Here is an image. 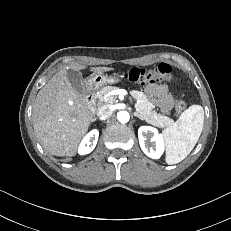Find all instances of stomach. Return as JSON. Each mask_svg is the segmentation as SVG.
Returning a JSON list of instances; mask_svg holds the SVG:
<instances>
[{
    "label": "stomach",
    "mask_w": 231,
    "mask_h": 231,
    "mask_svg": "<svg viewBox=\"0 0 231 231\" xmlns=\"http://www.w3.org/2000/svg\"><path fill=\"white\" fill-rule=\"evenodd\" d=\"M118 81L119 79L116 76L94 73L86 79V84L89 87L99 88L105 84L117 83Z\"/></svg>",
    "instance_id": "0dacf381"
}]
</instances>
